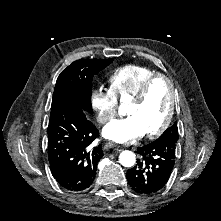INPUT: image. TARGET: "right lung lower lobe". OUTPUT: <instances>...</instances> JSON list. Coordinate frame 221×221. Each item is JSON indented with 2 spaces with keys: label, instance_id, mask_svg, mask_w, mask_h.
<instances>
[{
  "label": "right lung lower lobe",
  "instance_id": "1",
  "mask_svg": "<svg viewBox=\"0 0 221 221\" xmlns=\"http://www.w3.org/2000/svg\"><path fill=\"white\" fill-rule=\"evenodd\" d=\"M98 130L76 105L65 104L50 114L48 157L53 177L70 191H83L93 182L103 157L101 145L93 141Z\"/></svg>",
  "mask_w": 221,
  "mask_h": 221
}]
</instances>
